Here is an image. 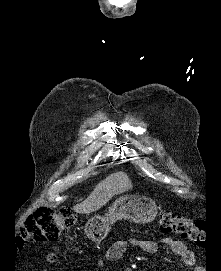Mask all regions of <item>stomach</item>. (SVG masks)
Masks as SVG:
<instances>
[{
	"mask_svg": "<svg viewBox=\"0 0 221 271\" xmlns=\"http://www.w3.org/2000/svg\"><path fill=\"white\" fill-rule=\"evenodd\" d=\"M152 197H120L109 207L106 217L94 215L85 225V233L92 241H101L106 237L111 223L117 219H130L135 223L151 221L153 213H157Z\"/></svg>",
	"mask_w": 221,
	"mask_h": 271,
	"instance_id": "0dacf381",
	"label": "stomach"
}]
</instances>
